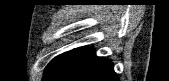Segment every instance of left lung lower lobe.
I'll list each match as a JSON object with an SVG mask.
<instances>
[{
	"label": "left lung lower lobe",
	"mask_w": 169,
	"mask_h": 81,
	"mask_svg": "<svg viewBox=\"0 0 169 81\" xmlns=\"http://www.w3.org/2000/svg\"><path fill=\"white\" fill-rule=\"evenodd\" d=\"M119 81L113 64L97 57L89 47L63 53L54 66L44 73L43 81Z\"/></svg>",
	"instance_id": "0a47b994"
}]
</instances>
